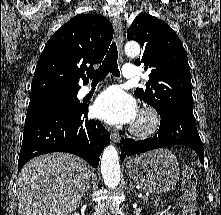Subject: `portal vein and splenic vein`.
I'll use <instances>...</instances> for the list:
<instances>
[{"label": "portal vein and splenic vein", "mask_w": 221, "mask_h": 215, "mask_svg": "<svg viewBox=\"0 0 221 215\" xmlns=\"http://www.w3.org/2000/svg\"><path fill=\"white\" fill-rule=\"evenodd\" d=\"M143 199H144V200H147V199H148V197H147V196H143Z\"/></svg>", "instance_id": "1"}]
</instances>
